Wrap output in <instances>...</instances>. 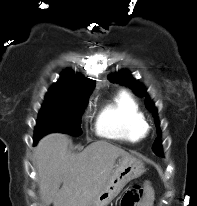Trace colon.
Returning <instances> with one entry per match:
<instances>
[{
  "instance_id": "obj_1",
  "label": "colon",
  "mask_w": 197,
  "mask_h": 206,
  "mask_svg": "<svg viewBox=\"0 0 197 206\" xmlns=\"http://www.w3.org/2000/svg\"><path fill=\"white\" fill-rule=\"evenodd\" d=\"M150 190V188H142L139 186L132 187L123 197L121 206H133V204L139 202L143 196H146Z\"/></svg>"
}]
</instances>
